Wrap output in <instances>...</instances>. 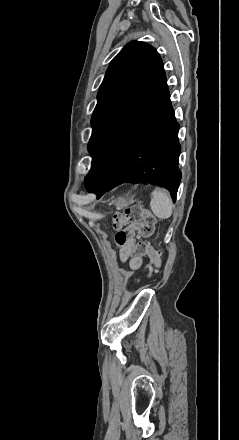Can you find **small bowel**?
<instances>
[{"mask_svg": "<svg viewBox=\"0 0 239 440\" xmlns=\"http://www.w3.org/2000/svg\"><path fill=\"white\" fill-rule=\"evenodd\" d=\"M136 240L133 238L132 240L128 241L125 245H119L120 246V259L122 262L127 261L130 259V267L133 270H138L142 266V258L139 256H133L131 254V251L133 247L135 246Z\"/></svg>", "mask_w": 239, "mask_h": 440, "instance_id": "1", "label": "small bowel"}]
</instances>
